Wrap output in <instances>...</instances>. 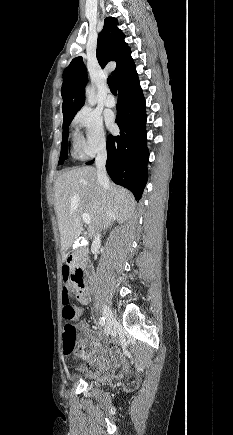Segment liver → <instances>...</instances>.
<instances>
[{
    "label": "liver",
    "instance_id": "1",
    "mask_svg": "<svg viewBox=\"0 0 233 435\" xmlns=\"http://www.w3.org/2000/svg\"><path fill=\"white\" fill-rule=\"evenodd\" d=\"M54 208L63 253L79 238L83 230L82 215L91 218L92 239L100 228H109L114 221L124 222L135 210L133 195L126 189L98 179L91 166L74 168L62 173L54 185Z\"/></svg>",
    "mask_w": 233,
    "mask_h": 435
}]
</instances>
